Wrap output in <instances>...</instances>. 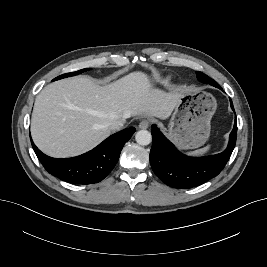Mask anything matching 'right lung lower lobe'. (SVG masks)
<instances>
[{"instance_id": "1", "label": "right lung lower lobe", "mask_w": 267, "mask_h": 267, "mask_svg": "<svg viewBox=\"0 0 267 267\" xmlns=\"http://www.w3.org/2000/svg\"><path fill=\"white\" fill-rule=\"evenodd\" d=\"M134 132V127L124 129L111 135L91 151L65 159L49 157L33 141L31 143L38 159L50 174L69 183L86 185L100 182L112 171L124 144Z\"/></svg>"}]
</instances>
